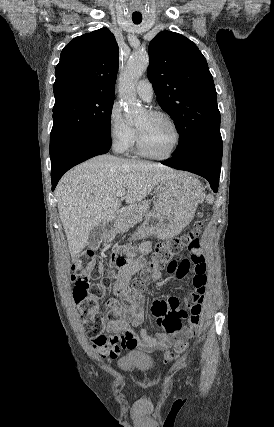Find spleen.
<instances>
[{
  "label": "spleen",
  "mask_w": 274,
  "mask_h": 427,
  "mask_svg": "<svg viewBox=\"0 0 274 427\" xmlns=\"http://www.w3.org/2000/svg\"><path fill=\"white\" fill-rule=\"evenodd\" d=\"M191 186H194V188H201V184H200L199 180H193V182H191ZM199 196H201V194H199ZM207 202H208V204H213L214 198H213V196H211V194H209V196H207Z\"/></svg>",
  "instance_id": "obj_1"
}]
</instances>
